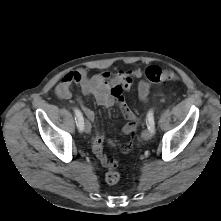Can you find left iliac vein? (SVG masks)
I'll return each mask as SVG.
<instances>
[{"label":"left iliac vein","mask_w":221,"mask_h":221,"mask_svg":"<svg viewBox=\"0 0 221 221\" xmlns=\"http://www.w3.org/2000/svg\"><path fill=\"white\" fill-rule=\"evenodd\" d=\"M152 135H153V132L150 129H145L142 132L141 137L144 140H149V139H151Z\"/></svg>","instance_id":"4c4485c4"}]
</instances>
